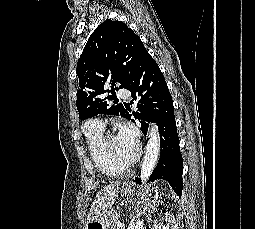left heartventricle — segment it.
I'll return each instance as SVG.
<instances>
[{"instance_id":"1","label":"left heart ventricle","mask_w":255,"mask_h":229,"mask_svg":"<svg viewBox=\"0 0 255 229\" xmlns=\"http://www.w3.org/2000/svg\"><path fill=\"white\" fill-rule=\"evenodd\" d=\"M107 147L113 157L119 161H129L136 154V150L126 146L123 142H121L118 136L109 138Z\"/></svg>"}]
</instances>
